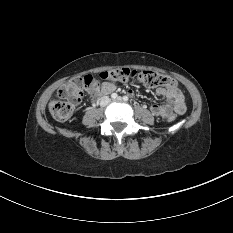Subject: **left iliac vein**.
Wrapping results in <instances>:
<instances>
[{"instance_id":"4c4485c4","label":"left iliac vein","mask_w":233,"mask_h":233,"mask_svg":"<svg viewBox=\"0 0 233 233\" xmlns=\"http://www.w3.org/2000/svg\"><path fill=\"white\" fill-rule=\"evenodd\" d=\"M115 100H116V101H121L122 98H121V97H117Z\"/></svg>"}]
</instances>
